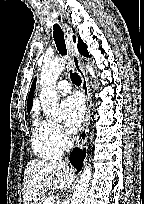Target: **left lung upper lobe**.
<instances>
[{"mask_svg": "<svg viewBox=\"0 0 144 204\" xmlns=\"http://www.w3.org/2000/svg\"><path fill=\"white\" fill-rule=\"evenodd\" d=\"M78 49H79V52L84 55V56H87V57H90V55L88 54V51H87V46L86 44H84L82 42V40L80 39V37L78 38Z\"/></svg>", "mask_w": 144, "mask_h": 204, "instance_id": "obj_1", "label": "left lung upper lobe"}]
</instances>
